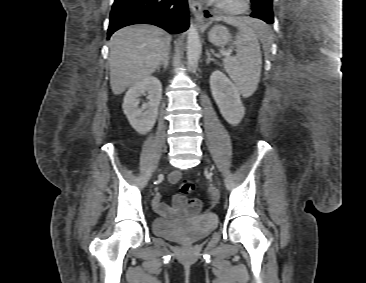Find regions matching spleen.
<instances>
[{"label":"spleen","mask_w":366,"mask_h":283,"mask_svg":"<svg viewBox=\"0 0 366 283\" xmlns=\"http://www.w3.org/2000/svg\"><path fill=\"white\" fill-rule=\"evenodd\" d=\"M225 21L237 26L239 33L234 41L237 54L223 59L224 69L242 96L249 97L260 81L262 57L258 40L264 39L266 28L255 19L228 18Z\"/></svg>","instance_id":"spleen-1"}]
</instances>
